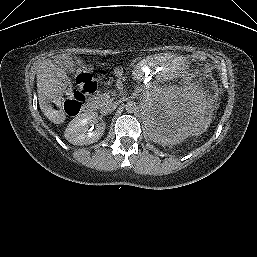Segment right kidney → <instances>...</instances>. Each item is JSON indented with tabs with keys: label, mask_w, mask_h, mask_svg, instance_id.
Returning a JSON list of instances; mask_svg holds the SVG:
<instances>
[{
	"label": "right kidney",
	"mask_w": 257,
	"mask_h": 257,
	"mask_svg": "<svg viewBox=\"0 0 257 257\" xmlns=\"http://www.w3.org/2000/svg\"><path fill=\"white\" fill-rule=\"evenodd\" d=\"M95 115L84 113L75 117L65 130V138L73 145H89L97 142L103 135L105 124L95 130H87L88 125L95 123Z\"/></svg>",
	"instance_id": "1"
}]
</instances>
